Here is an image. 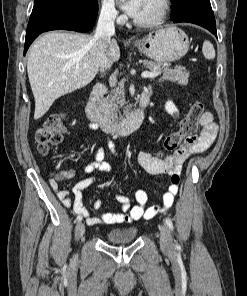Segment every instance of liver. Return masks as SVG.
<instances>
[{"label": "liver", "instance_id": "6515ba94", "mask_svg": "<svg viewBox=\"0 0 247 296\" xmlns=\"http://www.w3.org/2000/svg\"><path fill=\"white\" fill-rule=\"evenodd\" d=\"M119 58L120 49L114 39L105 44L96 35L61 31L39 37L27 62L35 99L34 119L41 118L59 97L88 85L100 69L111 68Z\"/></svg>", "mask_w": 247, "mask_h": 296}]
</instances>
